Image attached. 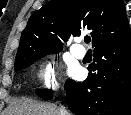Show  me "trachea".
I'll use <instances>...</instances> for the list:
<instances>
[{"label":"trachea","mask_w":131,"mask_h":115,"mask_svg":"<svg viewBox=\"0 0 131 115\" xmlns=\"http://www.w3.org/2000/svg\"><path fill=\"white\" fill-rule=\"evenodd\" d=\"M84 41H85V43H90L91 38H90L89 36H88V37H85Z\"/></svg>","instance_id":"1"}]
</instances>
